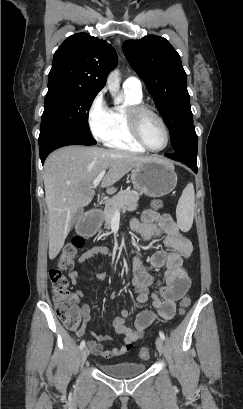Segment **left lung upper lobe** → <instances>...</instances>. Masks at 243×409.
I'll return each instance as SVG.
<instances>
[{"instance_id":"1","label":"left lung upper lobe","mask_w":243,"mask_h":409,"mask_svg":"<svg viewBox=\"0 0 243 409\" xmlns=\"http://www.w3.org/2000/svg\"><path fill=\"white\" fill-rule=\"evenodd\" d=\"M123 52L154 98L170 130L173 149L196 159L197 141L189 131L194 125L187 75L179 54L165 38L156 35L125 41Z\"/></svg>"}]
</instances>
